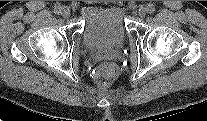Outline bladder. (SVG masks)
Returning a JSON list of instances; mask_svg holds the SVG:
<instances>
[{"mask_svg": "<svg viewBox=\"0 0 207 121\" xmlns=\"http://www.w3.org/2000/svg\"><path fill=\"white\" fill-rule=\"evenodd\" d=\"M83 42L89 48H114L123 44L127 30L125 10L118 4L90 5L83 9Z\"/></svg>", "mask_w": 207, "mask_h": 121, "instance_id": "bladder-1", "label": "bladder"}]
</instances>
